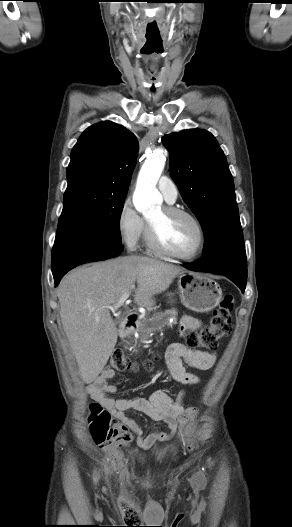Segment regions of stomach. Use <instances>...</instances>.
<instances>
[{"instance_id":"stomach-1","label":"stomach","mask_w":292,"mask_h":527,"mask_svg":"<svg viewBox=\"0 0 292 527\" xmlns=\"http://www.w3.org/2000/svg\"><path fill=\"white\" fill-rule=\"evenodd\" d=\"M178 293L188 309L204 313L213 310L222 298V291L211 278L197 273H180Z\"/></svg>"}]
</instances>
